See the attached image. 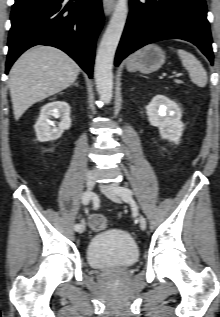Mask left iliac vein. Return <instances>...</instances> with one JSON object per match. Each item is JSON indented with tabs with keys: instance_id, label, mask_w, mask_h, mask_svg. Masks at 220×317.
Segmentation results:
<instances>
[{
	"instance_id": "1",
	"label": "left iliac vein",
	"mask_w": 220,
	"mask_h": 317,
	"mask_svg": "<svg viewBox=\"0 0 220 317\" xmlns=\"http://www.w3.org/2000/svg\"><path fill=\"white\" fill-rule=\"evenodd\" d=\"M99 187H100L101 191L106 196H108L109 198H111L115 202H118V203L121 202V200L118 197V195H119V193H118L119 186L114 185V184H100ZM131 200H132V198L130 197L128 201H131ZM138 217H139L140 228L142 230H145L146 226H147L145 217L143 215H141V214H138Z\"/></svg>"
}]
</instances>
